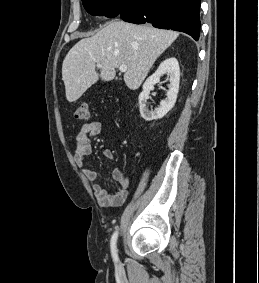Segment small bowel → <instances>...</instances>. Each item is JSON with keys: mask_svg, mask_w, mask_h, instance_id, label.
I'll return each instance as SVG.
<instances>
[{"mask_svg": "<svg viewBox=\"0 0 259 283\" xmlns=\"http://www.w3.org/2000/svg\"><path fill=\"white\" fill-rule=\"evenodd\" d=\"M101 132V123L99 121H92L80 127L75 134V151L74 160L76 165L80 168L84 176L90 181L98 179V173L85 164V159L92 153L91 139ZM103 155L107 159H114V152L111 149H104ZM111 180L117 183V188L114 192L109 191L103 185L95 183L93 191L101 206L113 207L119 206L126 200L129 187L131 183L130 176L124 174L120 168L116 167L111 173Z\"/></svg>", "mask_w": 259, "mask_h": 283, "instance_id": "obj_1", "label": "small bowel"}]
</instances>
